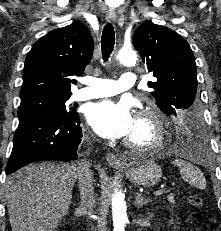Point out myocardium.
<instances>
[{"instance_id":"obj_1","label":"myocardium","mask_w":221,"mask_h":231,"mask_svg":"<svg viewBox=\"0 0 221 231\" xmlns=\"http://www.w3.org/2000/svg\"><path fill=\"white\" fill-rule=\"evenodd\" d=\"M136 120L151 128V139L146 142H137L130 138H126L124 144L134 151L141 152L160 149L166 140V126L162 115L156 109L148 106L139 110Z\"/></svg>"}]
</instances>
